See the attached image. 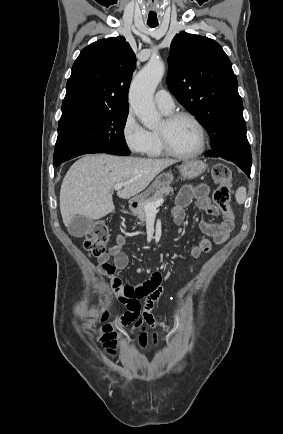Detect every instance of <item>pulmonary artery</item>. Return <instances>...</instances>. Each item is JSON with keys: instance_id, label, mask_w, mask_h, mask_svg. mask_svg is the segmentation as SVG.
Masks as SVG:
<instances>
[{"instance_id": "e3ab8cb5", "label": "pulmonary artery", "mask_w": 283, "mask_h": 434, "mask_svg": "<svg viewBox=\"0 0 283 434\" xmlns=\"http://www.w3.org/2000/svg\"><path fill=\"white\" fill-rule=\"evenodd\" d=\"M154 100L157 107L163 112H171L175 107L171 94L165 89L158 90L155 94Z\"/></svg>"}]
</instances>
